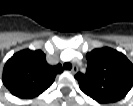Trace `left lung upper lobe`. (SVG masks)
<instances>
[{
    "mask_svg": "<svg viewBox=\"0 0 133 106\" xmlns=\"http://www.w3.org/2000/svg\"><path fill=\"white\" fill-rule=\"evenodd\" d=\"M87 71L77 73L80 89L99 103L116 102L133 85V64L127 57L108 47L87 53Z\"/></svg>",
    "mask_w": 133,
    "mask_h": 106,
    "instance_id": "left-lung-upper-lobe-1",
    "label": "left lung upper lobe"
}]
</instances>
